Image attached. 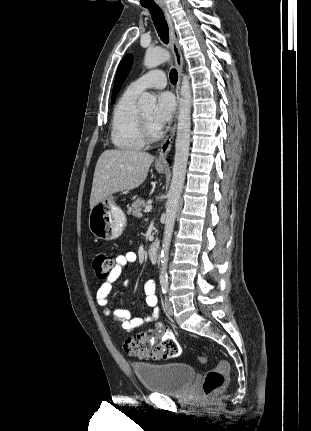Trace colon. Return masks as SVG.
<instances>
[{
    "mask_svg": "<svg viewBox=\"0 0 311 431\" xmlns=\"http://www.w3.org/2000/svg\"><path fill=\"white\" fill-rule=\"evenodd\" d=\"M114 264L113 256L106 251H95L91 255V266L100 279L109 276L110 270ZM124 351L130 356H136L142 359H172L181 353V348L173 336H165L161 339H149L141 334L134 338L128 339L124 343ZM201 364L207 362V358H199ZM229 363L225 359H219L217 366L209 370L203 380V393L208 396L223 389L228 381Z\"/></svg>",
    "mask_w": 311,
    "mask_h": 431,
    "instance_id": "colon-1",
    "label": "colon"
}]
</instances>
